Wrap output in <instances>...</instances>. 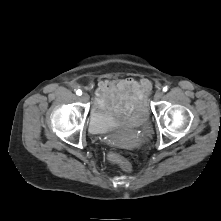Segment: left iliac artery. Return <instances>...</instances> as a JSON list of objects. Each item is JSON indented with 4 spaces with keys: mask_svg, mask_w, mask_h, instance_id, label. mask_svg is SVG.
<instances>
[{
    "mask_svg": "<svg viewBox=\"0 0 221 221\" xmlns=\"http://www.w3.org/2000/svg\"><path fill=\"white\" fill-rule=\"evenodd\" d=\"M167 90H168V87H167V86L163 87V91H164V92H166Z\"/></svg>",
    "mask_w": 221,
    "mask_h": 221,
    "instance_id": "obj_1",
    "label": "left iliac artery"
}]
</instances>
